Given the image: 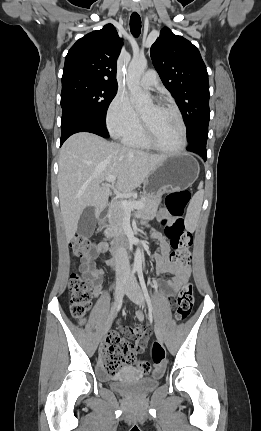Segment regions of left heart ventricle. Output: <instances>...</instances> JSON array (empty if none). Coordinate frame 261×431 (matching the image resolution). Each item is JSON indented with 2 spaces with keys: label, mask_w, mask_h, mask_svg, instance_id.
<instances>
[{
  "label": "left heart ventricle",
  "mask_w": 261,
  "mask_h": 431,
  "mask_svg": "<svg viewBox=\"0 0 261 431\" xmlns=\"http://www.w3.org/2000/svg\"><path fill=\"white\" fill-rule=\"evenodd\" d=\"M140 113L160 146L169 150L179 146L181 127L174 111L150 102Z\"/></svg>",
  "instance_id": "1"
}]
</instances>
